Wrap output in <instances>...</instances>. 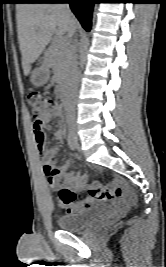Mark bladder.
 I'll list each match as a JSON object with an SVG mask.
<instances>
[{
	"mask_svg": "<svg viewBox=\"0 0 166 267\" xmlns=\"http://www.w3.org/2000/svg\"><path fill=\"white\" fill-rule=\"evenodd\" d=\"M98 219V209H88L61 215L57 220V224L61 230L77 231L96 222Z\"/></svg>",
	"mask_w": 166,
	"mask_h": 267,
	"instance_id": "bladder-1",
	"label": "bladder"
}]
</instances>
